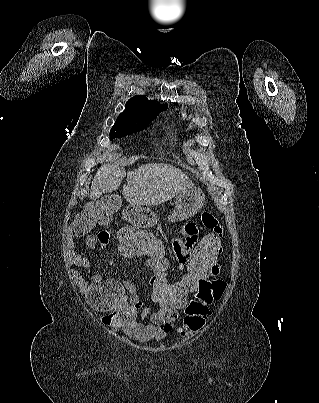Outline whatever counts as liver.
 Masks as SVG:
<instances>
[{
  "instance_id": "1",
  "label": "liver",
  "mask_w": 319,
  "mask_h": 403,
  "mask_svg": "<svg viewBox=\"0 0 319 403\" xmlns=\"http://www.w3.org/2000/svg\"><path fill=\"white\" fill-rule=\"evenodd\" d=\"M119 148L112 145L111 150ZM127 175V185L122 195L132 206H156L167 202L181 192L193 187L192 181L180 169L164 163H149L126 173L123 166L102 165L91 184L90 199L103 193L116 191Z\"/></svg>"
}]
</instances>
